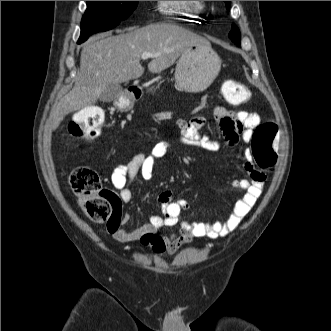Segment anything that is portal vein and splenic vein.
I'll return each instance as SVG.
<instances>
[{"mask_svg": "<svg viewBox=\"0 0 331 331\" xmlns=\"http://www.w3.org/2000/svg\"><path fill=\"white\" fill-rule=\"evenodd\" d=\"M156 56H157V54L143 53L142 56H141V58H142L143 60H147L148 58H152V57H156Z\"/></svg>", "mask_w": 331, "mask_h": 331, "instance_id": "18ae733b", "label": "portal vein and splenic vein"}]
</instances>
